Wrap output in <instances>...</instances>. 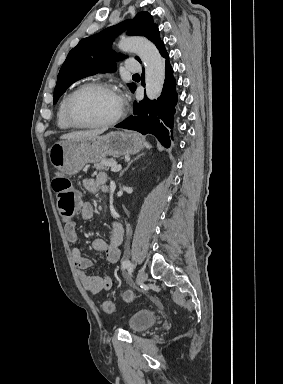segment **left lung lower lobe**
Returning a JSON list of instances; mask_svg holds the SVG:
<instances>
[{"mask_svg": "<svg viewBox=\"0 0 283 384\" xmlns=\"http://www.w3.org/2000/svg\"><path fill=\"white\" fill-rule=\"evenodd\" d=\"M158 50L165 62V83L161 96L157 100L150 101L145 98L135 102L134 112L123 122L115 127L135 130L142 134H153L165 147L170 146V138H173V117L178 96L176 93V80L173 76V69L169 63V56L162 43ZM144 80V71L142 73ZM134 92V91H133Z\"/></svg>", "mask_w": 283, "mask_h": 384, "instance_id": "1", "label": "left lung lower lobe"}]
</instances>
